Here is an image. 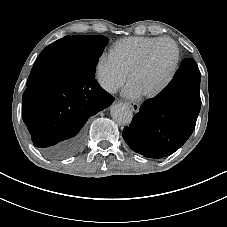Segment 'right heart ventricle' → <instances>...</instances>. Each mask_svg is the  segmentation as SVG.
I'll return each instance as SVG.
<instances>
[{
    "mask_svg": "<svg viewBox=\"0 0 227 227\" xmlns=\"http://www.w3.org/2000/svg\"><path fill=\"white\" fill-rule=\"evenodd\" d=\"M158 37H126L118 40L110 50V57L129 74L134 64L141 58L144 51Z\"/></svg>",
    "mask_w": 227,
    "mask_h": 227,
    "instance_id": "right-heart-ventricle-1",
    "label": "right heart ventricle"
}]
</instances>
